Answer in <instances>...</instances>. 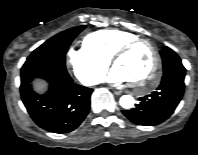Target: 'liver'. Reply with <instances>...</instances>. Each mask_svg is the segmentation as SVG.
Masks as SVG:
<instances>
[{"label":"liver","instance_id":"liver-1","mask_svg":"<svg viewBox=\"0 0 198 155\" xmlns=\"http://www.w3.org/2000/svg\"><path fill=\"white\" fill-rule=\"evenodd\" d=\"M35 88L38 91H44L45 90V85L41 82H36L35 83Z\"/></svg>","mask_w":198,"mask_h":155}]
</instances>
